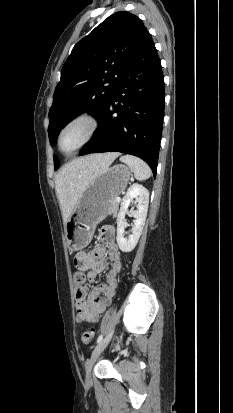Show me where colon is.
I'll return each instance as SVG.
<instances>
[{
	"mask_svg": "<svg viewBox=\"0 0 233 413\" xmlns=\"http://www.w3.org/2000/svg\"><path fill=\"white\" fill-rule=\"evenodd\" d=\"M76 270L74 271L73 274V281L76 286V288H81V286L86 282L87 276L86 274L82 271V269L79 267L78 263H75ZM94 337V331L93 330H87L82 334V342L85 345L90 344Z\"/></svg>",
	"mask_w": 233,
	"mask_h": 413,
	"instance_id": "obj_1",
	"label": "colon"
}]
</instances>
